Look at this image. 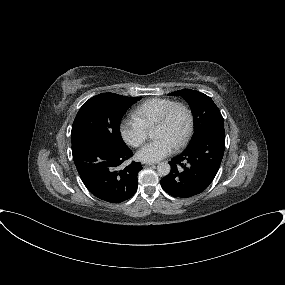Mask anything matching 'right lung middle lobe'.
<instances>
[{"label": "right lung middle lobe", "mask_w": 285, "mask_h": 285, "mask_svg": "<svg viewBox=\"0 0 285 285\" xmlns=\"http://www.w3.org/2000/svg\"><path fill=\"white\" fill-rule=\"evenodd\" d=\"M141 98L114 93H102L90 98L75 117L71 141L86 136L118 150L127 149L120 134V122L125 112Z\"/></svg>", "instance_id": "obj_1"}]
</instances>
